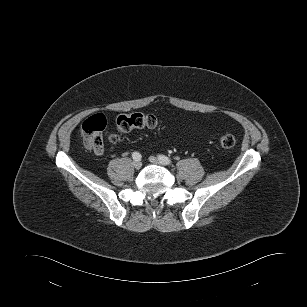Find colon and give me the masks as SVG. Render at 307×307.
Listing matches in <instances>:
<instances>
[{
	"instance_id": "5ec220e1",
	"label": "colon",
	"mask_w": 307,
	"mask_h": 307,
	"mask_svg": "<svg viewBox=\"0 0 307 307\" xmlns=\"http://www.w3.org/2000/svg\"><path fill=\"white\" fill-rule=\"evenodd\" d=\"M106 125V118L102 114L92 115L82 123L80 133L88 149L95 152L103 151ZM157 125L158 119L153 114L141 112L120 114L115 119V130L107 134V140L115 144L119 141L121 134L130 132L133 129H151ZM218 142L221 148L229 149L235 145L236 140L232 134H222Z\"/></svg>"
}]
</instances>
